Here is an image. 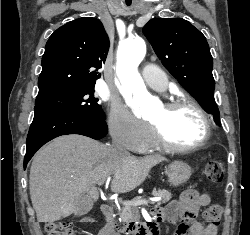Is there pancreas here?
<instances>
[{
  "instance_id": "1",
  "label": "pancreas",
  "mask_w": 250,
  "mask_h": 235,
  "mask_svg": "<svg viewBox=\"0 0 250 235\" xmlns=\"http://www.w3.org/2000/svg\"><path fill=\"white\" fill-rule=\"evenodd\" d=\"M153 196L161 197V200L157 202L156 206H159L161 204H164L168 202L172 194L168 190H153L152 192ZM141 197H136L132 200L131 203H124V207L122 208V211L120 212V217L122 221L124 222H136L140 220V214H139V206L141 203Z\"/></svg>"
}]
</instances>
